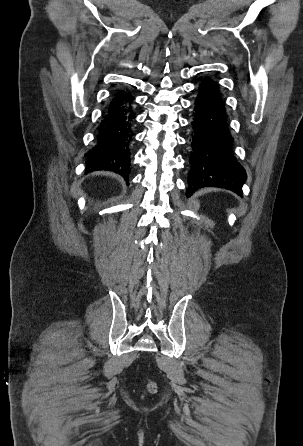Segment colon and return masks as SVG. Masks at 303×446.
<instances>
[{
	"instance_id": "obj_1",
	"label": "colon",
	"mask_w": 303,
	"mask_h": 446,
	"mask_svg": "<svg viewBox=\"0 0 303 446\" xmlns=\"http://www.w3.org/2000/svg\"><path fill=\"white\" fill-rule=\"evenodd\" d=\"M147 391L149 393H154L156 391V385L153 381H149L147 384Z\"/></svg>"
}]
</instances>
